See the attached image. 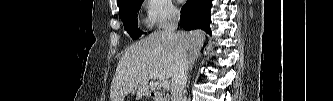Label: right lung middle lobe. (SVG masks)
Segmentation results:
<instances>
[{
    "label": "right lung middle lobe",
    "instance_id": "dd1d6c3e",
    "mask_svg": "<svg viewBox=\"0 0 333 101\" xmlns=\"http://www.w3.org/2000/svg\"><path fill=\"white\" fill-rule=\"evenodd\" d=\"M144 0H121L118 3L120 10V18L123 22L125 30L133 39H138L143 32L137 28V12ZM146 34V33H145Z\"/></svg>",
    "mask_w": 333,
    "mask_h": 101
}]
</instances>
